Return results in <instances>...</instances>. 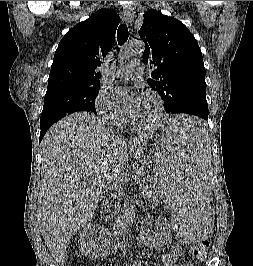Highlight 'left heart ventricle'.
<instances>
[{
  "mask_svg": "<svg viewBox=\"0 0 253 266\" xmlns=\"http://www.w3.org/2000/svg\"><path fill=\"white\" fill-rule=\"evenodd\" d=\"M156 111L157 106L153 98L142 95L131 116L138 123H146L154 117Z\"/></svg>",
  "mask_w": 253,
  "mask_h": 266,
  "instance_id": "b2bd125f",
  "label": "left heart ventricle"
}]
</instances>
